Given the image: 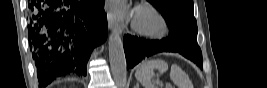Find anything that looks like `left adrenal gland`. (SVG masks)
<instances>
[{
  "mask_svg": "<svg viewBox=\"0 0 267 88\" xmlns=\"http://www.w3.org/2000/svg\"><path fill=\"white\" fill-rule=\"evenodd\" d=\"M134 88H139V84L137 83V84L134 86Z\"/></svg>",
  "mask_w": 267,
  "mask_h": 88,
  "instance_id": "obj_1",
  "label": "left adrenal gland"
}]
</instances>
